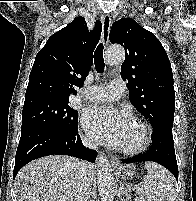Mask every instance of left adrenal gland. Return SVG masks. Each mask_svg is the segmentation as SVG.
<instances>
[{
    "label": "left adrenal gland",
    "mask_w": 196,
    "mask_h": 201,
    "mask_svg": "<svg viewBox=\"0 0 196 201\" xmlns=\"http://www.w3.org/2000/svg\"><path fill=\"white\" fill-rule=\"evenodd\" d=\"M124 185H125V182H122L121 185H120V199H121V201H125V199L123 197V194L125 193Z\"/></svg>",
    "instance_id": "a2214340"
}]
</instances>
